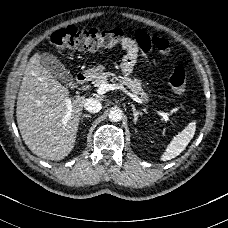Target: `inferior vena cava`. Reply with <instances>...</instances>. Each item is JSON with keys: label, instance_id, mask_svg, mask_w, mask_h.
I'll use <instances>...</instances> for the list:
<instances>
[{"label": "inferior vena cava", "instance_id": "1", "mask_svg": "<svg viewBox=\"0 0 228 228\" xmlns=\"http://www.w3.org/2000/svg\"><path fill=\"white\" fill-rule=\"evenodd\" d=\"M84 108L90 113H97L101 110L102 105L99 100L91 97L85 100Z\"/></svg>", "mask_w": 228, "mask_h": 228}]
</instances>
